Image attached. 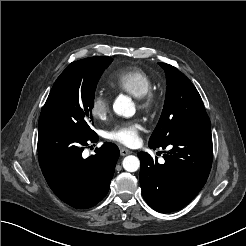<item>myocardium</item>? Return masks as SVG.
Returning <instances> with one entry per match:
<instances>
[{"label": "myocardium", "mask_w": 246, "mask_h": 246, "mask_svg": "<svg viewBox=\"0 0 246 246\" xmlns=\"http://www.w3.org/2000/svg\"><path fill=\"white\" fill-rule=\"evenodd\" d=\"M137 104L139 109L145 112H150L157 104V96L152 90H150L145 95L137 98Z\"/></svg>", "instance_id": "obj_1"}]
</instances>
